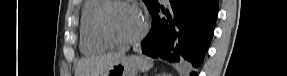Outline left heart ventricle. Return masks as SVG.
<instances>
[{
	"label": "left heart ventricle",
	"instance_id": "1",
	"mask_svg": "<svg viewBox=\"0 0 287 76\" xmlns=\"http://www.w3.org/2000/svg\"><path fill=\"white\" fill-rule=\"evenodd\" d=\"M110 30L119 38L128 39L136 36L143 27V16L134 7L116 6L108 16Z\"/></svg>",
	"mask_w": 287,
	"mask_h": 76
}]
</instances>
